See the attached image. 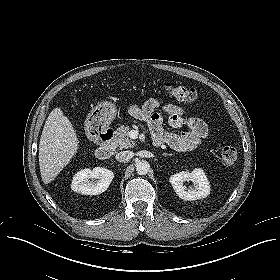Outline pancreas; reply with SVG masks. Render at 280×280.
Listing matches in <instances>:
<instances>
[{
	"label": "pancreas",
	"instance_id": "cf45deb5",
	"mask_svg": "<svg viewBox=\"0 0 280 280\" xmlns=\"http://www.w3.org/2000/svg\"><path fill=\"white\" fill-rule=\"evenodd\" d=\"M129 126H120L114 132V141L120 149H128L135 147V141L129 138Z\"/></svg>",
	"mask_w": 280,
	"mask_h": 280
}]
</instances>
